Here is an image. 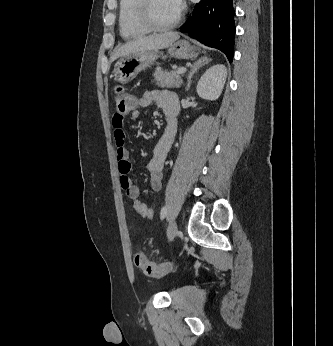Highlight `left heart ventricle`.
I'll use <instances>...</instances> for the list:
<instances>
[{
	"instance_id": "obj_1",
	"label": "left heart ventricle",
	"mask_w": 333,
	"mask_h": 346,
	"mask_svg": "<svg viewBox=\"0 0 333 346\" xmlns=\"http://www.w3.org/2000/svg\"><path fill=\"white\" fill-rule=\"evenodd\" d=\"M178 9L172 0H152L151 12L154 20L160 24L167 23L173 19Z\"/></svg>"
}]
</instances>
